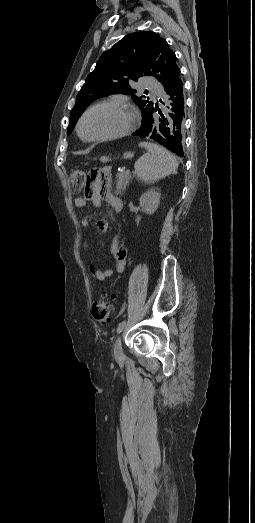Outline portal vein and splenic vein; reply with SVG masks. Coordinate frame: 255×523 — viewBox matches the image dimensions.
Returning a JSON list of instances; mask_svg holds the SVG:
<instances>
[{
	"instance_id": "obj_1",
	"label": "portal vein and splenic vein",
	"mask_w": 255,
	"mask_h": 523,
	"mask_svg": "<svg viewBox=\"0 0 255 523\" xmlns=\"http://www.w3.org/2000/svg\"><path fill=\"white\" fill-rule=\"evenodd\" d=\"M125 172H126L127 174H130V173L132 172V169H131L130 167H127V168L125 169Z\"/></svg>"
}]
</instances>
